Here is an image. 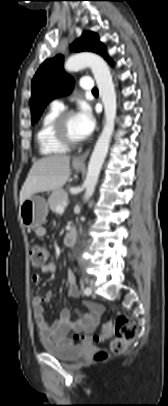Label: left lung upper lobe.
Instances as JSON below:
<instances>
[{"label": "left lung upper lobe", "mask_w": 168, "mask_h": 406, "mask_svg": "<svg viewBox=\"0 0 168 406\" xmlns=\"http://www.w3.org/2000/svg\"><path fill=\"white\" fill-rule=\"evenodd\" d=\"M71 50L91 51L108 59L104 45L97 34L83 32L80 39L71 45ZM74 81L63 69V56L57 55L47 59L37 70L32 80L31 113L32 123L38 121L46 105L56 97L71 92Z\"/></svg>", "instance_id": "obj_1"}]
</instances>
